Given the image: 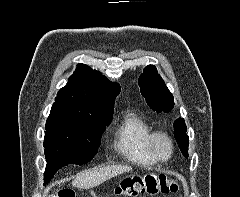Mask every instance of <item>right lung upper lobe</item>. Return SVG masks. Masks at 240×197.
Returning a JSON list of instances; mask_svg holds the SVG:
<instances>
[{"label": "right lung upper lobe", "instance_id": "obj_1", "mask_svg": "<svg viewBox=\"0 0 240 197\" xmlns=\"http://www.w3.org/2000/svg\"><path fill=\"white\" fill-rule=\"evenodd\" d=\"M118 83L110 82L99 71L78 64L74 74L55 98L48 120L69 123L111 121Z\"/></svg>", "mask_w": 240, "mask_h": 197}]
</instances>
